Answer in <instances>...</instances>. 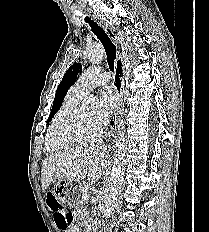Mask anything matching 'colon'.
Instances as JSON below:
<instances>
[{"label": "colon", "instance_id": "5ec220e1", "mask_svg": "<svg viewBox=\"0 0 209 232\" xmlns=\"http://www.w3.org/2000/svg\"><path fill=\"white\" fill-rule=\"evenodd\" d=\"M45 198H47L48 206L54 212L55 226H59L61 229L69 227L73 220L72 214L60 206L54 193H45Z\"/></svg>", "mask_w": 209, "mask_h": 232}]
</instances>
